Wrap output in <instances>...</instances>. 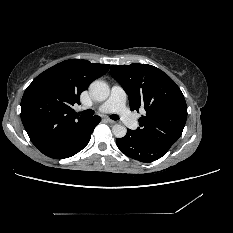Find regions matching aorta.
I'll use <instances>...</instances> for the list:
<instances>
[{
	"mask_svg": "<svg viewBox=\"0 0 233 233\" xmlns=\"http://www.w3.org/2000/svg\"><path fill=\"white\" fill-rule=\"evenodd\" d=\"M90 94L96 101H104L109 97L110 88L108 84L104 81L96 80L91 83ZM112 132L115 137L122 138L126 135L127 129L123 125L115 124L112 127Z\"/></svg>",
	"mask_w": 233,
	"mask_h": 233,
	"instance_id": "obj_1",
	"label": "aorta"
}]
</instances>
